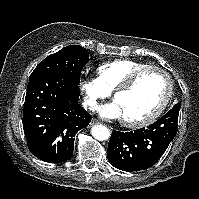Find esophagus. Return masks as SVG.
<instances>
[{
	"label": "esophagus",
	"instance_id": "1",
	"mask_svg": "<svg viewBox=\"0 0 199 199\" xmlns=\"http://www.w3.org/2000/svg\"><path fill=\"white\" fill-rule=\"evenodd\" d=\"M99 123H100V122H99L97 119L93 118V119L91 120V122H90V125L93 126V125H96V124H99Z\"/></svg>",
	"mask_w": 199,
	"mask_h": 199
}]
</instances>
